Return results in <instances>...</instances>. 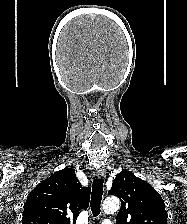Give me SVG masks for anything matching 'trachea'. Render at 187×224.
Wrapping results in <instances>:
<instances>
[{
	"mask_svg": "<svg viewBox=\"0 0 187 224\" xmlns=\"http://www.w3.org/2000/svg\"><path fill=\"white\" fill-rule=\"evenodd\" d=\"M103 179H95L92 184L91 211L94 217L100 214L101 200L103 195Z\"/></svg>",
	"mask_w": 187,
	"mask_h": 224,
	"instance_id": "obj_1",
	"label": "trachea"
}]
</instances>
